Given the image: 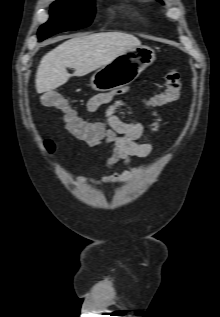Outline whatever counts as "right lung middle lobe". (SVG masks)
<instances>
[{
  "mask_svg": "<svg viewBox=\"0 0 220 317\" xmlns=\"http://www.w3.org/2000/svg\"><path fill=\"white\" fill-rule=\"evenodd\" d=\"M95 14L93 0H58L51 5L50 19L38 31L39 41L89 26Z\"/></svg>",
  "mask_w": 220,
  "mask_h": 317,
  "instance_id": "right-lung-middle-lobe-1",
  "label": "right lung middle lobe"
}]
</instances>
